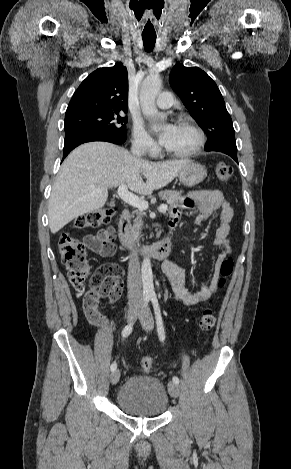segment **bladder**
Here are the masks:
<instances>
[{
	"mask_svg": "<svg viewBox=\"0 0 291 469\" xmlns=\"http://www.w3.org/2000/svg\"><path fill=\"white\" fill-rule=\"evenodd\" d=\"M118 407L133 416H159L165 412L169 396L164 384L155 377L132 375L116 396Z\"/></svg>",
	"mask_w": 291,
	"mask_h": 469,
	"instance_id": "1",
	"label": "bladder"
}]
</instances>
